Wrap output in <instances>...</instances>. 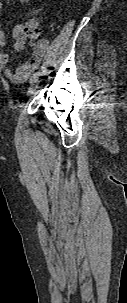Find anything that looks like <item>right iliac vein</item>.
Masks as SVG:
<instances>
[{
    "label": "right iliac vein",
    "instance_id": "obj_1",
    "mask_svg": "<svg viewBox=\"0 0 127 303\" xmlns=\"http://www.w3.org/2000/svg\"><path fill=\"white\" fill-rule=\"evenodd\" d=\"M39 84V78H36L28 88V93L31 94L33 91L38 87Z\"/></svg>",
    "mask_w": 127,
    "mask_h": 303
}]
</instances>
